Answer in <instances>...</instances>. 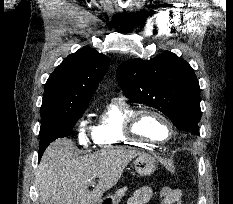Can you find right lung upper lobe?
Segmentation results:
<instances>
[{"mask_svg":"<svg viewBox=\"0 0 233 204\" xmlns=\"http://www.w3.org/2000/svg\"><path fill=\"white\" fill-rule=\"evenodd\" d=\"M109 64L89 46L69 55L46 82L41 119L85 110Z\"/></svg>","mask_w":233,"mask_h":204,"instance_id":"1","label":"right lung upper lobe"}]
</instances>
